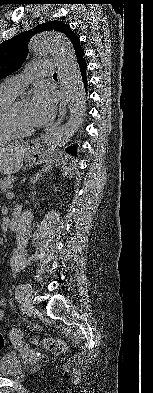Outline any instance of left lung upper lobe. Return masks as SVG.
<instances>
[{
	"label": "left lung upper lobe",
	"mask_w": 153,
	"mask_h": 393,
	"mask_svg": "<svg viewBox=\"0 0 153 393\" xmlns=\"http://www.w3.org/2000/svg\"><path fill=\"white\" fill-rule=\"evenodd\" d=\"M38 31L60 32L71 41L75 54L83 52L79 37L70 28L69 24L63 21L45 22L38 25L33 33L26 31L0 44V79L10 75L22 65L27 55V42Z\"/></svg>",
	"instance_id": "1"
}]
</instances>
